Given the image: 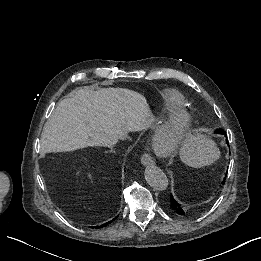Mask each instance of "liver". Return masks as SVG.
Returning <instances> with one entry per match:
<instances>
[{
  "label": "liver",
  "mask_w": 261,
  "mask_h": 261,
  "mask_svg": "<svg viewBox=\"0 0 261 261\" xmlns=\"http://www.w3.org/2000/svg\"><path fill=\"white\" fill-rule=\"evenodd\" d=\"M154 121L146 98L126 88L84 87L58 102L45 123L41 145L46 152L111 146L129 132L149 128Z\"/></svg>",
  "instance_id": "6515ba94"
}]
</instances>
